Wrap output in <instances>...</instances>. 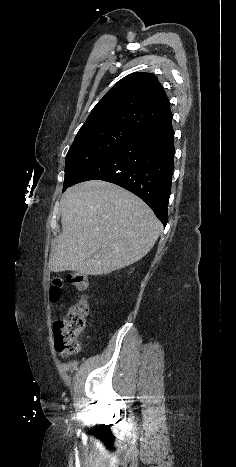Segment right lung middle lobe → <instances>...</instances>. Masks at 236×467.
<instances>
[{
	"mask_svg": "<svg viewBox=\"0 0 236 467\" xmlns=\"http://www.w3.org/2000/svg\"><path fill=\"white\" fill-rule=\"evenodd\" d=\"M136 133L138 131L120 125H103L78 132L66 155L63 189L92 164Z\"/></svg>",
	"mask_w": 236,
	"mask_h": 467,
	"instance_id": "dd1d6c3e",
	"label": "right lung middle lobe"
}]
</instances>
